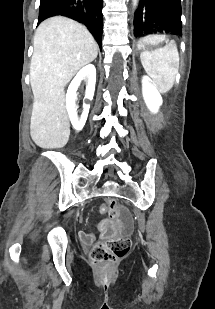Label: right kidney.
Instances as JSON below:
<instances>
[{"mask_svg": "<svg viewBox=\"0 0 215 309\" xmlns=\"http://www.w3.org/2000/svg\"><path fill=\"white\" fill-rule=\"evenodd\" d=\"M83 78H88V84L86 86V92H85V98H93L94 96V90H95V82H96V68L94 64H86V66H83L79 72H77L75 78H73L72 82L69 84V88L67 90L66 94V106L69 114V118L76 130H81L83 128L90 104H83V112L78 120L77 116V108L75 104L76 100V90H78V86L83 80Z\"/></svg>", "mask_w": 215, "mask_h": 309, "instance_id": "ca27d5eb", "label": "right kidney"}]
</instances>
